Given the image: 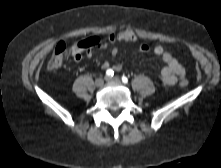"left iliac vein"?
<instances>
[{
	"label": "left iliac vein",
	"mask_w": 221,
	"mask_h": 168,
	"mask_svg": "<svg viewBox=\"0 0 221 168\" xmlns=\"http://www.w3.org/2000/svg\"><path fill=\"white\" fill-rule=\"evenodd\" d=\"M107 82L120 83V79L118 77H106Z\"/></svg>",
	"instance_id": "4c4485c4"
}]
</instances>
